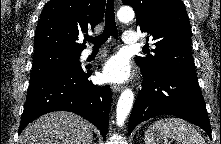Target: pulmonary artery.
I'll return each mask as SVG.
<instances>
[{"mask_svg": "<svg viewBox=\"0 0 221 144\" xmlns=\"http://www.w3.org/2000/svg\"><path fill=\"white\" fill-rule=\"evenodd\" d=\"M123 42L125 44H128V45H136L139 43V38H138V35L133 32V31H126L124 34H123ZM92 49H85L83 52H82V56L83 57H88L89 55L92 54Z\"/></svg>", "mask_w": 221, "mask_h": 144, "instance_id": "obj_1", "label": "pulmonary artery"}]
</instances>
